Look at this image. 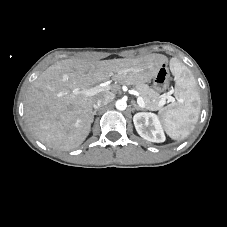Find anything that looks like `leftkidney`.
<instances>
[{"mask_svg":"<svg viewBox=\"0 0 227 227\" xmlns=\"http://www.w3.org/2000/svg\"><path fill=\"white\" fill-rule=\"evenodd\" d=\"M138 134L147 141L161 143L165 141L159 117L151 112H139L133 117Z\"/></svg>","mask_w":227,"mask_h":227,"instance_id":"5707ae66","label":"left kidney"}]
</instances>
